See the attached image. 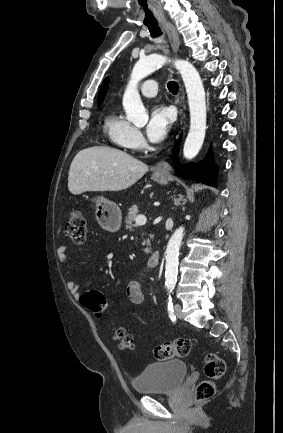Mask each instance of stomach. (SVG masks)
Masks as SVG:
<instances>
[{
	"label": "stomach",
	"instance_id": "obj_1",
	"mask_svg": "<svg viewBox=\"0 0 283 433\" xmlns=\"http://www.w3.org/2000/svg\"><path fill=\"white\" fill-rule=\"evenodd\" d=\"M152 178L153 180H157V182L167 184V176L164 172H160V170L153 172ZM94 200L96 202L97 221L109 227L111 231H119L122 214L118 204L112 202V200H108V198H104V196H97Z\"/></svg>",
	"mask_w": 283,
	"mask_h": 433
}]
</instances>
